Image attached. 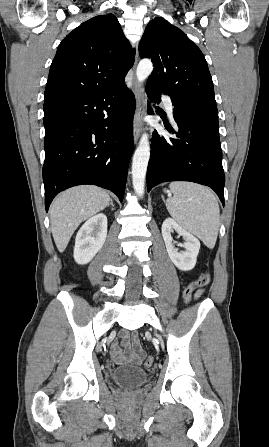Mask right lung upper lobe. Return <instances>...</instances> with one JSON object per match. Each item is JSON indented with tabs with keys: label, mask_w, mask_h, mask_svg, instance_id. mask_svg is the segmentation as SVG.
<instances>
[{
	"label": "right lung upper lobe",
	"mask_w": 269,
	"mask_h": 447,
	"mask_svg": "<svg viewBox=\"0 0 269 447\" xmlns=\"http://www.w3.org/2000/svg\"><path fill=\"white\" fill-rule=\"evenodd\" d=\"M135 50L113 14L99 15L69 33L58 46L45 99L92 93L124 79Z\"/></svg>",
	"instance_id": "right-lung-upper-lobe-1"
}]
</instances>
